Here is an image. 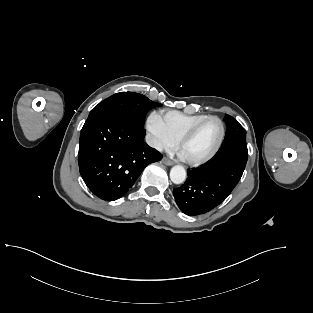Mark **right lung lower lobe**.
<instances>
[{"label":"right lung lower lobe","instance_id":"obj_1","mask_svg":"<svg viewBox=\"0 0 313 313\" xmlns=\"http://www.w3.org/2000/svg\"><path fill=\"white\" fill-rule=\"evenodd\" d=\"M144 137L145 129L116 116L101 115L85 122L78 163L92 193L102 200H117L149 163L162 159V154L148 146Z\"/></svg>","mask_w":313,"mask_h":313}]
</instances>
